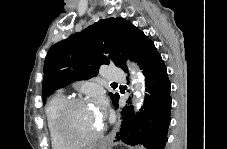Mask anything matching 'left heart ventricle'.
Here are the masks:
<instances>
[{
  "label": "left heart ventricle",
  "instance_id": "b2bd125f",
  "mask_svg": "<svg viewBox=\"0 0 227 149\" xmlns=\"http://www.w3.org/2000/svg\"><path fill=\"white\" fill-rule=\"evenodd\" d=\"M102 125L99 112L87 102L71 109L67 118V132L77 138L96 134Z\"/></svg>",
  "mask_w": 227,
  "mask_h": 149
}]
</instances>
